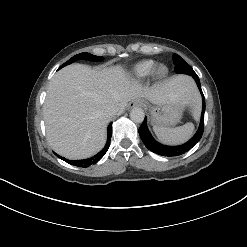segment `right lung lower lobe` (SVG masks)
<instances>
[{"instance_id": "right-lung-lower-lobe-1", "label": "right lung lower lobe", "mask_w": 247, "mask_h": 247, "mask_svg": "<svg viewBox=\"0 0 247 247\" xmlns=\"http://www.w3.org/2000/svg\"><path fill=\"white\" fill-rule=\"evenodd\" d=\"M111 126L112 123L109 124L108 129H107V133H108V137H107V142L105 147L98 153L96 154L94 157H91L89 159H84V160H67V162L69 164L75 165V166H79V167H88L91 164H95L97 163L107 152L109 146H110V140H111V135H112V130H111ZM59 158H61L62 160H66L65 158L57 155Z\"/></svg>"}]
</instances>
